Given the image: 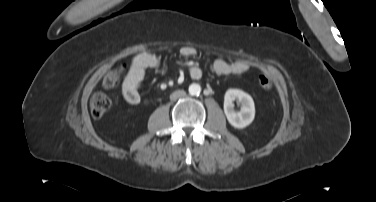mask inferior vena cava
<instances>
[{"label": "inferior vena cava", "instance_id": "inferior-vena-cava-1", "mask_svg": "<svg viewBox=\"0 0 376 202\" xmlns=\"http://www.w3.org/2000/svg\"><path fill=\"white\" fill-rule=\"evenodd\" d=\"M185 95V92L184 91H179V92H176L174 94L171 95V100H174L178 97H182Z\"/></svg>", "mask_w": 376, "mask_h": 202}]
</instances>
